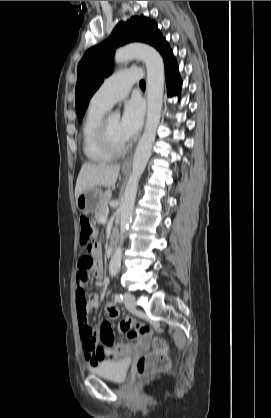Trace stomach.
I'll return each instance as SVG.
<instances>
[{
	"label": "stomach",
	"mask_w": 271,
	"mask_h": 418,
	"mask_svg": "<svg viewBox=\"0 0 271 418\" xmlns=\"http://www.w3.org/2000/svg\"><path fill=\"white\" fill-rule=\"evenodd\" d=\"M123 171L125 172L126 170L123 169ZM103 194L99 187L87 189L76 199V206L84 214L95 213Z\"/></svg>",
	"instance_id": "1"
}]
</instances>
